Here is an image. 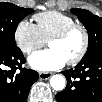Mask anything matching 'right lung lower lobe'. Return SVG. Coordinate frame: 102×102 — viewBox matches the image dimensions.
<instances>
[{
    "label": "right lung lower lobe",
    "mask_w": 102,
    "mask_h": 102,
    "mask_svg": "<svg viewBox=\"0 0 102 102\" xmlns=\"http://www.w3.org/2000/svg\"><path fill=\"white\" fill-rule=\"evenodd\" d=\"M25 57L21 50L0 48V101L25 102L32 84L39 75L36 71L22 68ZM7 66L10 70H3Z\"/></svg>",
    "instance_id": "1"
}]
</instances>
